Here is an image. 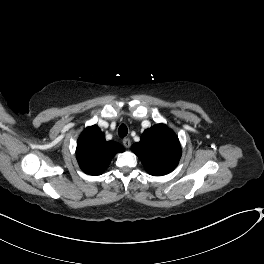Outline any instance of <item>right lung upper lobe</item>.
Segmentation results:
<instances>
[{
    "instance_id": "right-lung-upper-lobe-1",
    "label": "right lung upper lobe",
    "mask_w": 264,
    "mask_h": 264,
    "mask_svg": "<svg viewBox=\"0 0 264 264\" xmlns=\"http://www.w3.org/2000/svg\"><path fill=\"white\" fill-rule=\"evenodd\" d=\"M119 152H124V148L116 142L106 141L96 125L87 127L77 141V161L80 168L90 175L102 174Z\"/></svg>"
}]
</instances>
